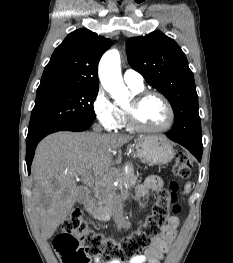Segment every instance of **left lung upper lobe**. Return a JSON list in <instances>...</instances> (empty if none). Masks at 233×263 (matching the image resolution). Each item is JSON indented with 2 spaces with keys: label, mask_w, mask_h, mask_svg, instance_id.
I'll return each instance as SVG.
<instances>
[{
  "label": "left lung upper lobe",
  "mask_w": 233,
  "mask_h": 263,
  "mask_svg": "<svg viewBox=\"0 0 233 263\" xmlns=\"http://www.w3.org/2000/svg\"><path fill=\"white\" fill-rule=\"evenodd\" d=\"M127 55L130 66L172 105L175 121L167 136L203 149L193 72L178 44L162 32L154 31L130 38Z\"/></svg>",
  "instance_id": "left-lung-upper-lobe-1"
}]
</instances>
